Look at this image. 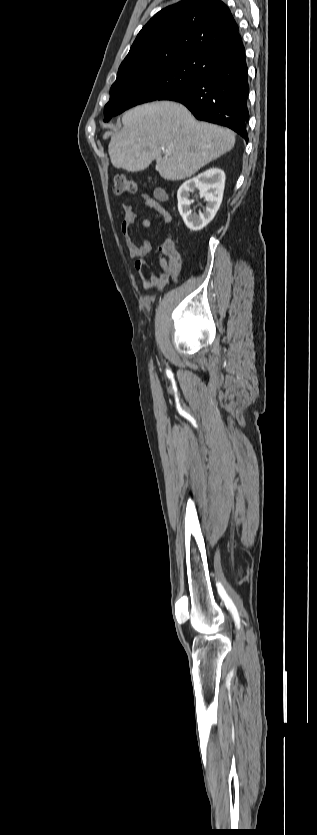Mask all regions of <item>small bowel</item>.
Returning a JSON list of instances; mask_svg holds the SVG:
<instances>
[{"instance_id": "1", "label": "small bowel", "mask_w": 317, "mask_h": 835, "mask_svg": "<svg viewBox=\"0 0 317 835\" xmlns=\"http://www.w3.org/2000/svg\"><path fill=\"white\" fill-rule=\"evenodd\" d=\"M167 199L168 193L162 187L156 188L153 195L146 193L141 195L143 205L152 208L156 213V217L165 223H169L172 220L170 212L161 204V202ZM123 209L124 219L122 221L121 231L125 237L129 256L134 260V267L136 270L144 272V281L147 289L161 290L167 285L169 278L179 270L181 258L177 252L171 254L161 249L159 268L158 270H152L146 262V257L153 252V247L148 240L137 243L133 239L132 227L136 222L137 216L131 205L126 204L123 206ZM141 225L143 228H150L152 221L144 218L141 221Z\"/></svg>"}]
</instances>
